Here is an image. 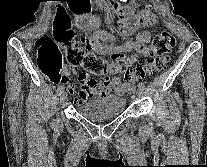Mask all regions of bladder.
Returning a JSON list of instances; mask_svg holds the SVG:
<instances>
[{"label":"bladder","instance_id":"bladder-1","mask_svg":"<svg viewBox=\"0 0 207 167\" xmlns=\"http://www.w3.org/2000/svg\"><path fill=\"white\" fill-rule=\"evenodd\" d=\"M126 107V100L121 96L107 95L95 97L77 106V112L92 121L104 122L121 115Z\"/></svg>","mask_w":207,"mask_h":167}]
</instances>
